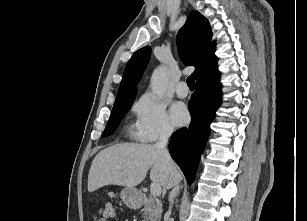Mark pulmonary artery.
<instances>
[{
  "label": "pulmonary artery",
  "instance_id": "1",
  "mask_svg": "<svg viewBox=\"0 0 307 221\" xmlns=\"http://www.w3.org/2000/svg\"><path fill=\"white\" fill-rule=\"evenodd\" d=\"M176 94L180 98H185L188 96V88L185 82H179L176 86Z\"/></svg>",
  "mask_w": 307,
  "mask_h": 221
}]
</instances>
